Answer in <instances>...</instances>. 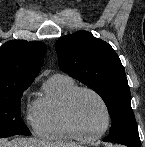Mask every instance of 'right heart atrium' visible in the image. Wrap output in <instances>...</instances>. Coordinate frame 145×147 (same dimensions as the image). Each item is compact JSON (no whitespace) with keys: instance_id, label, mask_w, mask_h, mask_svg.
Returning a JSON list of instances; mask_svg holds the SVG:
<instances>
[{"instance_id":"d8ad5b80","label":"right heart atrium","mask_w":145,"mask_h":147,"mask_svg":"<svg viewBox=\"0 0 145 147\" xmlns=\"http://www.w3.org/2000/svg\"><path fill=\"white\" fill-rule=\"evenodd\" d=\"M28 92H29V89H26V90L24 91V93H23V98H25V97L27 96Z\"/></svg>"}]
</instances>
